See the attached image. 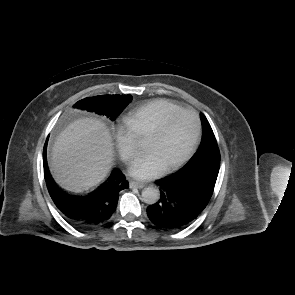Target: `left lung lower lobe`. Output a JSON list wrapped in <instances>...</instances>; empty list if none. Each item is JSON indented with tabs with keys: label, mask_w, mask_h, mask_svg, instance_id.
I'll list each match as a JSON object with an SVG mask.
<instances>
[{
	"label": "left lung lower lobe",
	"mask_w": 295,
	"mask_h": 295,
	"mask_svg": "<svg viewBox=\"0 0 295 295\" xmlns=\"http://www.w3.org/2000/svg\"><path fill=\"white\" fill-rule=\"evenodd\" d=\"M220 160L204 158L190 167L156 181L160 200L148 206L149 219L169 230L183 228L207 206L214 190Z\"/></svg>",
	"instance_id": "1"
}]
</instances>
